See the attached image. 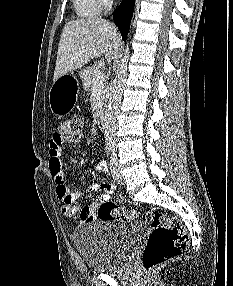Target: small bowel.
<instances>
[{
	"instance_id": "c3829d8e",
	"label": "small bowel",
	"mask_w": 233,
	"mask_h": 286,
	"mask_svg": "<svg viewBox=\"0 0 233 286\" xmlns=\"http://www.w3.org/2000/svg\"><path fill=\"white\" fill-rule=\"evenodd\" d=\"M66 142H68V140L61 139L58 135L55 134L52 137L49 146V170L56 185L57 196L62 202L61 212L64 216L67 217H71L79 213V220L81 222H91L95 219V205H85L83 207L74 205V203L81 196L82 192L71 190L65 183L62 147ZM78 144L82 145L83 141H78ZM97 169L103 172L106 171V164L101 162L98 164ZM115 189V184L111 182H101L91 184L87 188V192H100L101 195L99 197V203H101L108 201L110 199V194L113 193Z\"/></svg>"
}]
</instances>
